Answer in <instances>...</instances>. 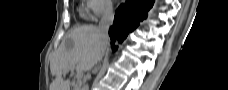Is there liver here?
I'll return each mask as SVG.
<instances>
[{
  "label": "liver",
  "instance_id": "6515ba94",
  "mask_svg": "<svg viewBox=\"0 0 228 90\" xmlns=\"http://www.w3.org/2000/svg\"><path fill=\"white\" fill-rule=\"evenodd\" d=\"M69 38L73 47L67 49L63 44L51 58L50 70L55 79L50 85V90H70V80H64L63 76L75 66L80 67L82 71L90 70L102 55L103 44L97 27L80 26L70 33ZM107 45L108 42L105 49Z\"/></svg>",
  "mask_w": 228,
  "mask_h": 90
}]
</instances>
